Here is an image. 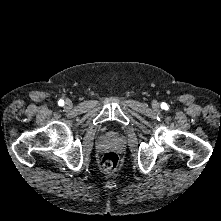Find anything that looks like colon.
<instances>
[{"mask_svg": "<svg viewBox=\"0 0 221 221\" xmlns=\"http://www.w3.org/2000/svg\"><path fill=\"white\" fill-rule=\"evenodd\" d=\"M103 170L108 173L112 174L115 172L119 166V158L117 154L113 152L106 153L101 161Z\"/></svg>", "mask_w": 221, "mask_h": 221, "instance_id": "1", "label": "colon"}]
</instances>
